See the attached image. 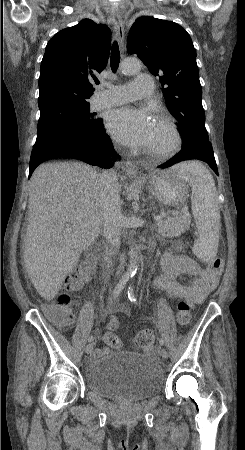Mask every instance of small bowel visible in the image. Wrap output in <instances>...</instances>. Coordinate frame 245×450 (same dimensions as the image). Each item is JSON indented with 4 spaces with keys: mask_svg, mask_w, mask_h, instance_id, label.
Masks as SVG:
<instances>
[{
    "mask_svg": "<svg viewBox=\"0 0 245 450\" xmlns=\"http://www.w3.org/2000/svg\"><path fill=\"white\" fill-rule=\"evenodd\" d=\"M183 275L194 276L196 280L191 285H186L180 280ZM218 282V274L199 268L186 256L167 251L162 256V273L156 278L155 285L164 290L170 298L186 300L191 305H195L203 301L217 287ZM100 316L102 318L104 313H100ZM110 352L111 349L106 346L96 350L95 354L107 355Z\"/></svg>",
    "mask_w": 245,
    "mask_h": 450,
    "instance_id": "obj_1",
    "label": "small bowel"
}]
</instances>
